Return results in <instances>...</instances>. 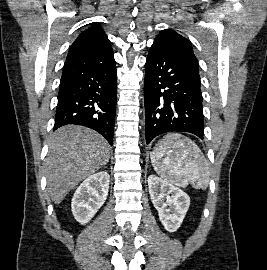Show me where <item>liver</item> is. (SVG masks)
Segmentation results:
<instances>
[{
    "mask_svg": "<svg viewBox=\"0 0 267 270\" xmlns=\"http://www.w3.org/2000/svg\"><path fill=\"white\" fill-rule=\"evenodd\" d=\"M110 150L103 136L91 129L77 125L59 128L50 140L45 162L47 191L54 204L105 166Z\"/></svg>",
    "mask_w": 267,
    "mask_h": 270,
    "instance_id": "obj_1",
    "label": "liver"
}]
</instances>
